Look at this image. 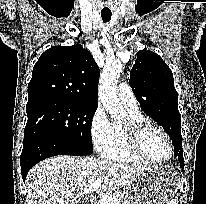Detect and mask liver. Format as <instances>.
Returning <instances> with one entry per match:
<instances>
[{
	"label": "liver",
	"mask_w": 206,
	"mask_h": 204,
	"mask_svg": "<svg viewBox=\"0 0 206 204\" xmlns=\"http://www.w3.org/2000/svg\"><path fill=\"white\" fill-rule=\"evenodd\" d=\"M146 170L95 157H52L35 165L27 175V203L74 204L97 178L103 180V192H112L130 186Z\"/></svg>",
	"instance_id": "6515ba94"
}]
</instances>
